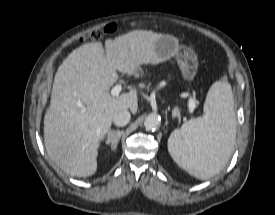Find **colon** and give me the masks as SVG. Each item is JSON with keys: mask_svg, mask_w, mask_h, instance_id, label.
<instances>
[{"mask_svg": "<svg viewBox=\"0 0 275 215\" xmlns=\"http://www.w3.org/2000/svg\"><path fill=\"white\" fill-rule=\"evenodd\" d=\"M115 30H116V25L114 23H110L104 26L103 28L92 31L89 35L83 37L82 39L99 40L103 36L113 33Z\"/></svg>", "mask_w": 275, "mask_h": 215, "instance_id": "1", "label": "colon"}]
</instances>
